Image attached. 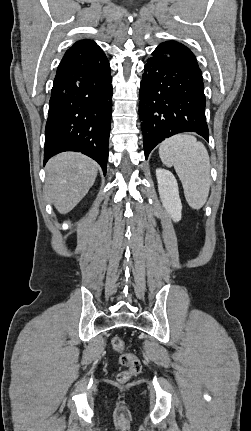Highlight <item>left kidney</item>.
<instances>
[{
  "instance_id": "5707ae66",
  "label": "left kidney",
  "mask_w": 251,
  "mask_h": 431,
  "mask_svg": "<svg viewBox=\"0 0 251 431\" xmlns=\"http://www.w3.org/2000/svg\"><path fill=\"white\" fill-rule=\"evenodd\" d=\"M156 177L163 207L174 222H179L182 218V204L177 180L170 171L162 168L156 169Z\"/></svg>"
}]
</instances>
